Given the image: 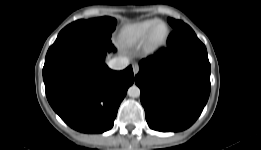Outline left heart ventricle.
Listing matches in <instances>:
<instances>
[{
  "instance_id": "1",
  "label": "left heart ventricle",
  "mask_w": 261,
  "mask_h": 150,
  "mask_svg": "<svg viewBox=\"0 0 261 150\" xmlns=\"http://www.w3.org/2000/svg\"><path fill=\"white\" fill-rule=\"evenodd\" d=\"M166 33V28L164 25H160L157 27L156 31H155V37L157 39L162 38Z\"/></svg>"
}]
</instances>
